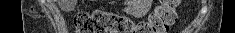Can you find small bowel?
<instances>
[{"label":"small bowel","instance_id":"obj_1","mask_svg":"<svg viewBox=\"0 0 235 33\" xmlns=\"http://www.w3.org/2000/svg\"><path fill=\"white\" fill-rule=\"evenodd\" d=\"M149 6H150V1H148V0H139V1L135 2L133 11L136 14H142V13H144L148 10Z\"/></svg>","mask_w":235,"mask_h":33}]
</instances>
